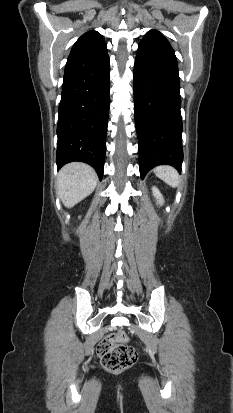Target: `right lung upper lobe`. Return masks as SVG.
Returning <instances> with one entry per match:
<instances>
[{
	"instance_id": "right-lung-upper-lobe-1",
	"label": "right lung upper lobe",
	"mask_w": 233,
	"mask_h": 413,
	"mask_svg": "<svg viewBox=\"0 0 233 413\" xmlns=\"http://www.w3.org/2000/svg\"><path fill=\"white\" fill-rule=\"evenodd\" d=\"M104 43V37L96 31H88L83 34L74 44L71 53L92 48Z\"/></svg>"
}]
</instances>
